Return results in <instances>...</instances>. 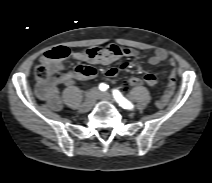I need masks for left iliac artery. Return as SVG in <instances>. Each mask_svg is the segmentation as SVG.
<instances>
[{
  "mask_svg": "<svg viewBox=\"0 0 212 183\" xmlns=\"http://www.w3.org/2000/svg\"><path fill=\"white\" fill-rule=\"evenodd\" d=\"M113 97L124 109H132L134 105L128 101L118 90H113Z\"/></svg>",
  "mask_w": 212,
  "mask_h": 183,
  "instance_id": "44dca946",
  "label": "left iliac artery"
}]
</instances>
